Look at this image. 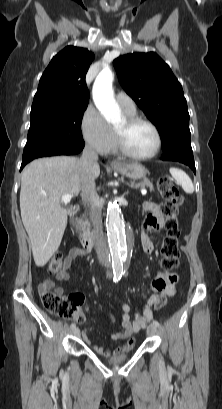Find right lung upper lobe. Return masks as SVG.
<instances>
[{"mask_svg":"<svg viewBox=\"0 0 222 409\" xmlns=\"http://www.w3.org/2000/svg\"><path fill=\"white\" fill-rule=\"evenodd\" d=\"M94 54L85 48L67 46L53 57L44 71L34 96L32 109L87 103L89 92L85 76Z\"/></svg>","mask_w":222,"mask_h":409,"instance_id":"1","label":"right lung upper lobe"}]
</instances>
